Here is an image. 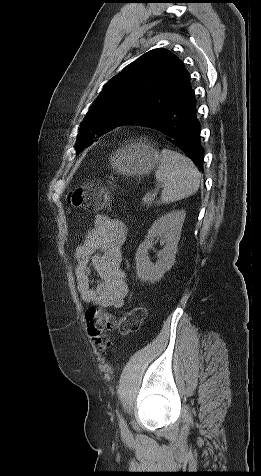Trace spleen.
<instances>
[{"label": "spleen", "mask_w": 261, "mask_h": 476, "mask_svg": "<svg viewBox=\"0 0 261 476\" xmlns=\"http://www.w3.org/2000/svg\"><path fill=\"white\" fill-rule=\"evenodd\" d=\"M155 177L163 186L160 203L168 204L195 194L200 186L201 174L189 158L164 149Z\"/></svg>", "instance_id": "1"}]
</instances>
